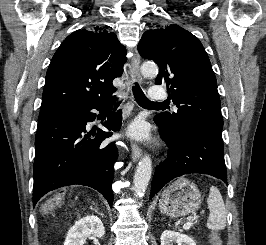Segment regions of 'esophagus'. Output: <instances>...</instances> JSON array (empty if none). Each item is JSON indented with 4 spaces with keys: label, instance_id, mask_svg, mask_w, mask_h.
<instances>
[{
    "label": "esophagus",
    "instance_id": "esophagus-1",
    "mask_svg": "<svg viewBox=\"0 0 266 245\" xmlns=\"http://www.w3.org/2000/svg\"><path fill=\"white\" fill-rule=\"evenodd\" d=\"M129 71L133 81L142 82V77L140 75V56L137 51L134 52V55L130 60ZM131 150H132V160L134 162L138 161L142 154L141 147L138 146L137 144H132Z\"/></svg>",
    "mask_w": 266,
    "mask_h": 245
}]
</instances>
